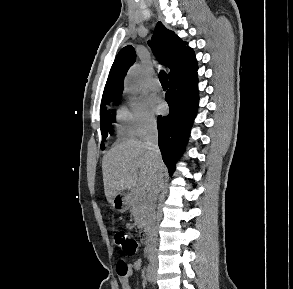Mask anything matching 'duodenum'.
I'll use <instances>...</instances> for the list:
<instances>
[{
	"label": "duodenum",
	"instance_id": "410a0bca",
	"mask_svg": "<svg viewBox=\"0 0 293 289\" xmlns=\"http://www.w3.org/2000/svg\"><path fill=\"white\" fill-rule=\"evenodd\" d=\"M150 227L148 225L144 226L141 230V239L144 244H148L150 239Z\"/></svg>",
	"mask_w": 293,
	"mask_h": 289
}]
</instances>
